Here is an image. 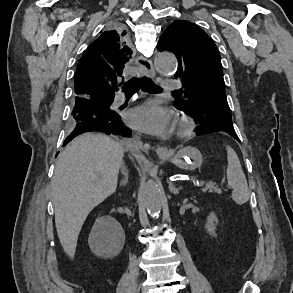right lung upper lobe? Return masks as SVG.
<instances>
[{"instance_id":"cb5924a9","label":"right lung upper lobe","mask_w":293,"mask_h":293,"mask_svg":"<svg viewBox=\"0 0 293 293\" xmlns=\"http://www.w3.org/2000/svg\"><path fill=\"white\" fill-rule=\"evenodd\" d=\"M126 31L114 27L92 42L78 62L74 76L76 98H114L131 49L125 44Z\"/></svg>"}]
</instances>
